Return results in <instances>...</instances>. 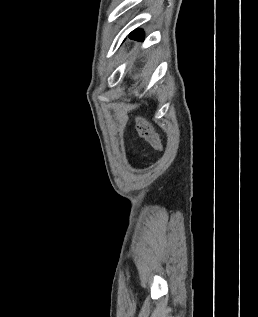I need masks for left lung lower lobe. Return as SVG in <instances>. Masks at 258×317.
I'll list each match as a JSON object with an SVG mask.
<instances>
[{
    "label": "left lung lower lobe",
    "instance_id": "left-lung-lower-lobe-1",
    "mask_svg": "<svg viewBox=\"0 0 258 317\" xmlns=\"http://www.w3.org/2000/svg\"><path fill=\"white\" fill-rule=\"evenodd\" d=\"M129 38L137 41H143L144 39V32L142 30H134L129 34Z\"/></svg>",
    "mask_w": 258,
    "mask_h": 317
}]
</instances>
